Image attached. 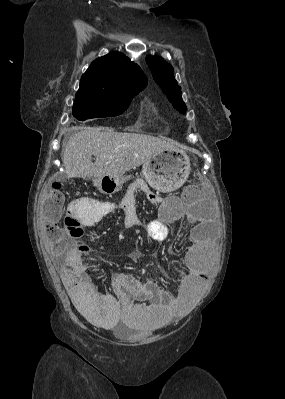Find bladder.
<instances>
[{
    "label": "bladder",
    "mask_w": 285,
    "mask_h": 399,
    "mask_svg": "<svg viewBox=\"0 0 285 399\" xmlns=\"http://www.w3.org/2000/svg\"><path fill=\"white\" fill-rule=\"evenodd\" d=\"M120 326H122V328L116 327L113 332L121 336H128L134 333V330L130 329L127 323H120Z\"/></svg>",
    "instance_id": "bladder-1"
}]
</instances>
